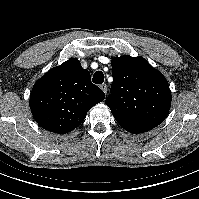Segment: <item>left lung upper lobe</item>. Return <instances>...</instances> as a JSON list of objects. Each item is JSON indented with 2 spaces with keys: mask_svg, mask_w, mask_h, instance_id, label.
<instances>
[{
  "mask_svg": "<svg viewBox=\"0 0 199 199\" xmlns=\"http://www.w3.org/2000/svg\"><path fill=\"white\" fill-rule=\"evenodd\" d=\"M111 64L113 83L105 104L119 125L138 134L162 123L171 106L165 77L143 58L125 55Z\"/></svg>",
  "mask_w": 199,
  "mask_h": 199,
  "instance_id": "1",
  "label": "left lung upper lobe"
}]
</instances>
